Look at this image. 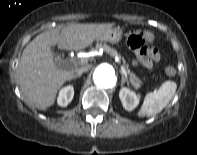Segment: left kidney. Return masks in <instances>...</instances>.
<instances>
[{
  "label": "left kidney",
  "mask_w": 197,
  "mask_h": 155,
  "mask_svg": "<svg viewBox=\"0 0 197 155\" xmlns=\"http://www.w3.org/2000/svg\"><path fill=\"white\" fill-rule=\"evenodd\" d=\"M119 98L122 102L123 107L127 111H132L139 104L140 95L131 91L129 88L122 87L119 92Z\"/></svg>",
  "instance_id": "5707ae66"
}]
</instances>
